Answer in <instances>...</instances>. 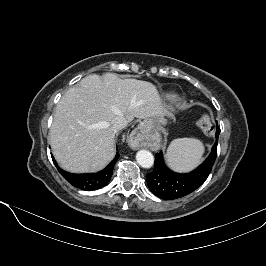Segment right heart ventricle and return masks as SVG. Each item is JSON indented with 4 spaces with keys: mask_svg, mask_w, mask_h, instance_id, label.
I'll list each match as a JSON object with an SVG mask.
<instances>
[{
    "mask_svg": "<svg viewBox=\"0 0 266 266\" xmlns=\"http://www.w3.org/2000/svg\"><path fill=\"white\" fill-rule=\"evenodd\" d=\"M169 99H170V100H173V99H174V96H173V95H170V96H169Z\"/></svg>",
    "mask_w": 266,
    "mask_h": 266,
    "instance_id": "obj_1",
    "label": "right heart ventricle"
}]
</instances>
